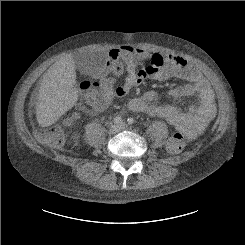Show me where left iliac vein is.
I'll return each instance as SVG.
<instances>
[{"instance_id":"4c4485c4","label":"left iliac vein","mask_w":245,"mask_h":245,"mask_svg":"<svg viewBox=\"0 0 245 245\" xmlns=\"http://www.w3.org/2000/svg\"><path fill=\"white\" fill-rule=\"evenodd\" d=\"M128 128V125L125 123V122H123V123H121L120 125H119V130H125V129H127Z\"/></svg>"}]
</instances>
